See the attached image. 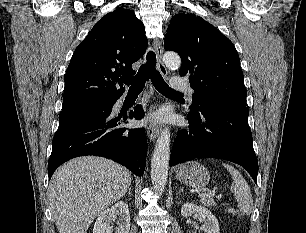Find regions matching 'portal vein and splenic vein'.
Returning a JSON list of instances; mask_svg holds the SVG:
<instances>
[{
  "mask_svg": "<svg viewBox=\"0 0 306 233\" xmlns=\"http://www.w3.org/2000/svg\"><path fill=\"white\" fill-rule=\"evenodd\" d=\"M212 196H216L215 190L209 191L207 193L199 194V197H201V198H203V197H212ZM217 197L218 198H222V195H218Z\"/></svg>",
  "mask_w": 306,
  "mask_h": 233,
  "instance_id": "18ae733b",
  "label": "portal vein and splenic vein"
}]
</instances>
